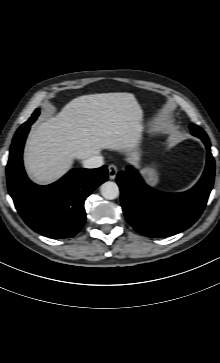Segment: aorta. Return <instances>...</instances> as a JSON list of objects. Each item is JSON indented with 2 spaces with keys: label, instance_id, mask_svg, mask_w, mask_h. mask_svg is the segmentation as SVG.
Returning a JSON list of instances; mask_svg holds the SVG:
<instances>
[{
  "label": "aorta",
  "instance_id": "obj_1",
  "mask_svg": "<svg viewBox=\"0 0 220 363\" xmlns=\"http://www.w3.org/2000/svg\"><path fill=\"white\" fill-rule=\"evenodd\" d=\"M101 195L108 200L116 199L119 196V187L115 182L107 181L100 187Z\"/></svg>",
  "mask_w": 220,
  "mask_h": 363
}]
</instances>
